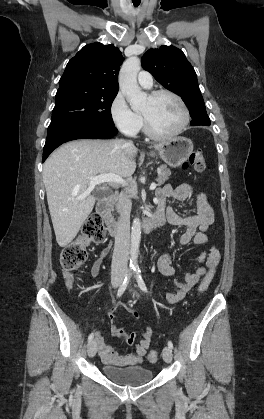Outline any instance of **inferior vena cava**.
<instances>
[{"mask_svg":"<svg viewBox=\"0 0 264 419\" xmlns=\"http://www.w3.org/2000/svg\"><path fill=\"white\" fill-rule=\"evenodd\" d=\"M132 144V142H127ZM130 205L121 197L118 207L119 218L116 226L115 246L112 257V269L126 271L130 241Z\"/></svg>","mask_w":264,"mask_h":419,"instance_id":"obj_1","label":"inferior vena cava"}]
</instances>
